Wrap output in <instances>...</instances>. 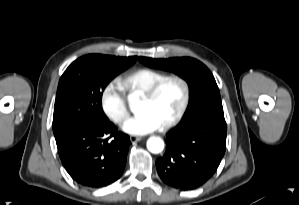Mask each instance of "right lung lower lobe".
<instances>
[{
	"mask_svg": "<svg viewBox=\"0 0 299 205\" xmlns=\"http://www.w3.org/2000/svg\"><path fill=\"white\" fill-rule=\"evenodd\" d=\"M110 135L108 138H105ZM63 166L79 184L100 188L121 176L130 140L110 121L84 123L56 140Z\"/></svg>",
	"mask_w": 299,
	"mask_h": 205,
	"instance_id": "obj_1",
	"label": "right lung lower lobe"
}]
</instances>
